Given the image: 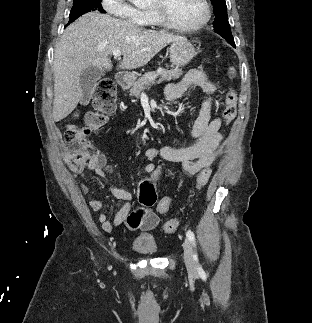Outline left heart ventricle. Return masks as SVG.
I'll list each match as a JSON object with an SVG mask.
<instances>
[{
    "instance_id": "1",
    "label": "left heart ventricle",
    "mask_w": 312,
    "mask_h": 323,
    "mask_svg": "<svg viewBox=\"0 0 312 323\" xmlns=\"http://www.w3.org/2000/svg\"><path fill=\"white\" fill-rule=\"evenodd\" d=\"M163 14H169L173 22H194L195 18H205L206 7L202 0H166Z\"/></svg>"
}]
</instances>
